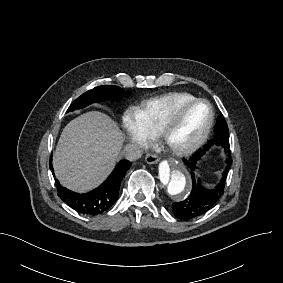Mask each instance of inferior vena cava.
<instances>
[{
    "label": "inferior vena cava",
    "mask_w": 283,
    "mask_h": 283,
    "mask_svg": "<svg viewBox=\"0 0 283 283\" xmlns=\"http://www.w3.org/2000/svg\"><path fill=\"white\" fill-rule=\"evenodd\" d=\"M142 154L143 150L141 146L137 143L127 144L122 151L123 157H125V159L129 161H135L141 158Z\"/></svg>",
    "instance_id": "obj_1"
}]
</instances>
